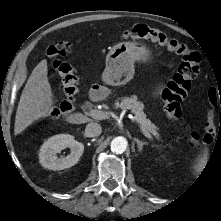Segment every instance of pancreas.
Returning <instances> with one entry per match:
<instances>
[{"label": "pancreas", "instance_id": "cf45deb5", "mask_svg": "<svg viewBox=\"0 0 221 221\" xmlns=\"http://www.w3.org/2000/svg\"><path fill=\"white\" fill-rule=\"evenodd\" d=\"M116 108L129 109L134 114L133 120L136 121L140 126H142L147 132L154 135L157 139H160L158 134L159 128L155 126L149 119H147L144 113V104L138 101L137 96L133 95L131 97H124L121 101L115 103Z\"/></svg>", "mask_w": 221, "mask_h": 221}]
</instances>
